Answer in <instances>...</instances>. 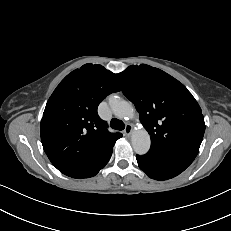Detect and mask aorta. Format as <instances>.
<instances>
[{"label": "aorta", "mask_w": 231, "mask_h": 231, "mask_svg": "<svg viewBox=\"0 0 231 231\" xmlns=\"http://www.w3.org/2000/svg\"><path fill=\"white\" fill-rule=\"evenodd\" d=\"M109 104L116 117L120 119L133 118L134 108L131 103L114 96L109 99ZM131 143L137 154L144 155L150 149V136L145 129L137 130L132 134Z\"/></svg>", "instance_id": "obj_1"}]
</instances>
